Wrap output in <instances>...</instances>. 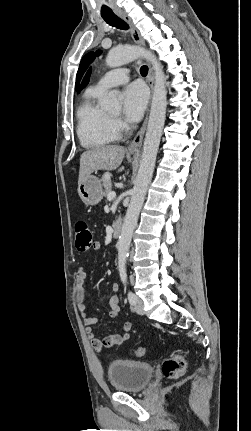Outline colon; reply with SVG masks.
<instances>
[{
	"mask_svg": "<svg viewBox=\"0 0 251 431\" xmlns=\"http://www.w3.org/2000/svg\"><path fill=\"white\" fill-rule=\"evenodd\" d=\"M75 245L78 251L86 252L95 246L90 226L85 221H78L75 225ZM136 357H143L145 349L137 347L133 351ZM186 367L185 358L182 355H174L166 359L162 364V373L168 379H177L182 376Z\"/></svg>",
	"mask_w": 251,
	"mask_h": 431,
	"instance_id": "obj_1",
	"label": "colon"
}]
</instances>
